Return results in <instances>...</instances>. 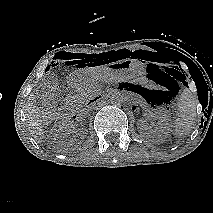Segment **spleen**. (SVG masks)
Listing matches in <instances>:
<instances>
[{
    "instance_id": "obj_1",
    "label": "spleen",
    "mask_w": 213,
    "mask_h": 213,
    "mask_svg": "<svg viewBox=\"0 0 213 213\" xmlns=\"http://www.w3.org/2000/svg\"><path fill=\"white\" fill-rule=\"evenodd\" d=\"M197 101L190 90L186 89L178 101L177 119L174 125V134L181 138L188 135L196 124Z\"/></svg>"
}]
</instances>
